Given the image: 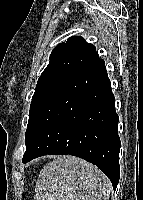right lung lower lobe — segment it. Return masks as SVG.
<instances>
[{"instance_id":"98d812e1","label":"right lung lower lobe","mask_w":143,"mask_h":200,"mask_svg":"<svg viewBox=\"0 0 143 200\" xmlns=\"http://www.w3.org/2000/svg\"><path fill=\"white\" fill-rule=\"evenodd\" d=\"M118 115L103 60L67 76L37 109L26 134L23 163L70 154L96 165L116 189L119 177Z\"/></svg>"}]
</instances>
